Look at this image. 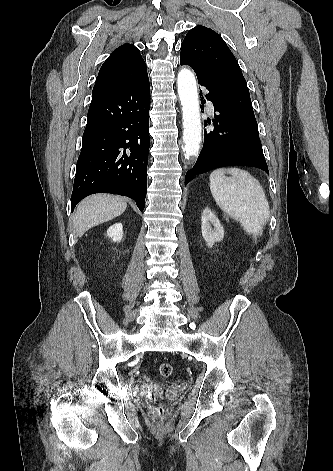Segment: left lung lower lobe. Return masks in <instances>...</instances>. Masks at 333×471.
Listing matches in <instances>:
<instances>
[{
	"label": "left lung lower lobe",
	"instance_id": "0a47b994",
	"mask_svg": "<svg viewBox=\"0 0 333 471\" xmlns=\"http://www.w3.org/2000/svg\"><path fill=\"white\" fill-rule=\"evenodd\" d=\"M197 78L198 83L208 90L206 98L214 105L215 126L213 130H204L203 148L194 167L186 173L185 182L195 175L230 165L257 167L269 174L258 126L229 106L215 85L203 77Z\"/></svg>",
	"mask_w": 333,
	"mask_h": 471
}]
</instances>
